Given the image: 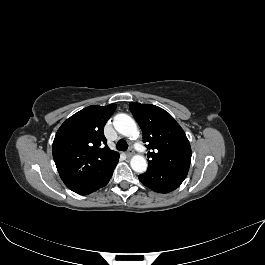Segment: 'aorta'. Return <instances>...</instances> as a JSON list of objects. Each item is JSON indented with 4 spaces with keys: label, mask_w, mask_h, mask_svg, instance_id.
<instances>
[{
    "label": "aorta",
    "mask_w": 265,
    "mask_h": 265,
    "mask_svg": "<svg viewBox=\"0 0 265 265\" xmlns=\"http://www.w3.org/2000/svg\"><path fill=\"white\" fill-rule=\"evenodd\" d=\"M114 128L123 136L136 138L139 135L136 122L127 114H117L113 121ZM131 168L137 173H143L147 170V161L141 155H134L130 161Z\"/></svg>",
    "instance_id": "762f6f07"
}]
</instances>
